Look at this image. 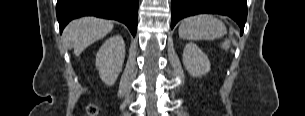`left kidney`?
Segmentation results:
<instances>
[{"label":"left kidney","mask_w":305,"mask_h":116,"mask_svg":"<svg viewBox=\"0 0 305 116\" xmlns=\"http://www.w3.org/2000/svg\"><path fill=\"white\" fill-rule=\"evenodd\" d=\"M183 64L193 77H201L210 71V61L194 43L186 44L183 51Z\"/></svg>","instance_id":"left-kidney-1"}]
</instances>
